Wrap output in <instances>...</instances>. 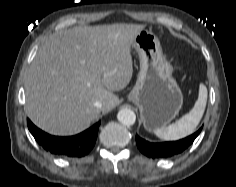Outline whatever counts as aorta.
I'll use <instances>...</instances> for the list:
<instances>
[{
    "mask_svg": "<svg viewBox=\"0 0 236 187\" xmlns=\"http://www.w3.org/2000/svg\"><path fill=\"white\" fill-rule=\"evenodd\" d=\"M117 119L120 123L130 126L135 123L136 115L132 110L124 108L118 112Z\"/></svg>",
    "mask_w": 236,
    "mask_h": 187,
    "instance_id": "aorta-1",
    "label": "aorta"
}]
</instances>
